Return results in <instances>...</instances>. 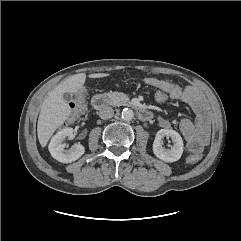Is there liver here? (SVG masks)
Masks as SVG:
<instances>
[{"mask_svg": "<svg viewBox=\"0 0 241 241\" xmlns=\"http://www.w3.org/2000/svg\"><path fill=\"white\" fill-rule=\"evenodd\" d=\"M108 75L107 73H93L89 75V78H102ZM85 80V73L72 75L56 86L44 100L37 124L38 139L42 147L47 145L53 133L63 125L71 113L63 94L78 92Z\"/></svg>", "mask_w": 241, "mask_h": 241, "instance_id": "1", "label": "liver"}]
</instances>
